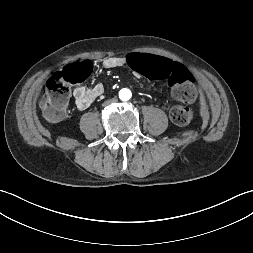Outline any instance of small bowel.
<instances>
[{
  "instance_id": "obj_1",
  "label": "small bowel",
  "mask_w": 253,
  "mask_h": 253,
  "mask_svg": "<svg viewBox=\"0 0 253 253\" xmlns=\"http://www.w3.org/2000/svg\"><path fill=\"white\" fill-rule=\"evenodd\" d=\"M129 56H109L102 61V65L106 69H114L126 66V60ZM140 75V74H139ZM104 92V88L101 84H96L93 87L87 88L79 86L74 89L73 97L78 109H87L96 98H98Z\"/></svg>"
}]
</instances>
